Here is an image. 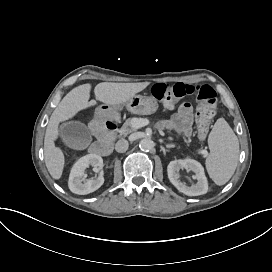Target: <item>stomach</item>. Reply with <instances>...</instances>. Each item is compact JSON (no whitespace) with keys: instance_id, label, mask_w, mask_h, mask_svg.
Instances as JSON below:
<instances>
[{"instance_id":"1","label":"stomach","mask_w":272,"mask_h":272,"mask_svg":"<svg viewBox=\"0 0 272 272\" xmlns=\"http://www.w3.org/2000/svg\"><path fill=\"white\" fill-rule=\"evenodd\" d=\"M128 111L139 115H149L156 112L158 108L157 100L151 96L133 95L128 101L123 103Z\"/></svg>"}]
</instances>
